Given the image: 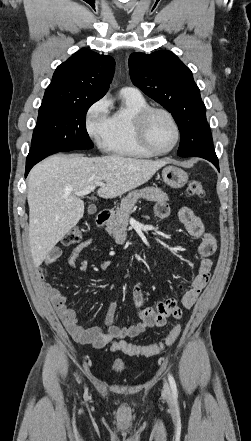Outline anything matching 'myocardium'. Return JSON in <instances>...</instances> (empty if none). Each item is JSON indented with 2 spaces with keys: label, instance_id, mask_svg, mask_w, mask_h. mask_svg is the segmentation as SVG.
<instances>
[{
  "label": "myocardium",
  "instance_id": "obj_1",
  "mask_svg": "<svg viewBox=\"0 0 251 441\" xmlns=\"http://www.w3.org/2000/svg\"><path fill=\"white\" fill-rule=\"evenodd\" d=\"M154 113H162L165 116H167L168 119L171 121V123L174 127V130H175V141H174L173 145L166 150L156 149L151 144V142L149 140L148 122ZM135 127H136V133H137V137H138L140 144L148 152H150L153 155L168 154V153L172 152L178 146V144L180 142L181 131H180V127L178 125V122H177L176 118L174 117V115L169 110H167L165 108L149 106L146 109L142 110L136 117Z\"/></svg>",
  "mask_w": 251,
  "mask_h": 441
}]
</instances>
